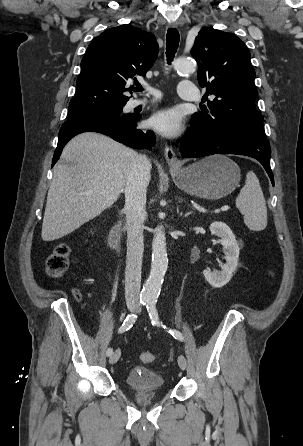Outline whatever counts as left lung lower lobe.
I'll return each mask as SVG.
<instances>
[{
	"label": "left lung lower lobe",
	"instance_id": "left-lung-lower-lobe-1",
	"mask_svg": "<svg viewBox=\"0 0 303 446\" xmlns=\"http://www.w3.org/2000/svg\"><path fill=\"white\" fill-rule=\"evenodd\" d=\"M180 145L184 158L213 154H238L255 158L263 165L274 185L270 168L271 148L267 138L239 135L227 130L191 124Z\"/></svg>",
	"mask_w": 303,
	"mask_h": 446
}]
</instances>
